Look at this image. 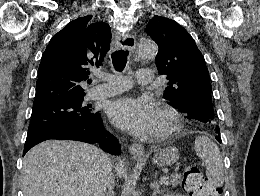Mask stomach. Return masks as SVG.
<instances>
[{"label":"stomach","mask_w":260,"mask_h":196,"mask_svg":"<svg viewBox=\"0 0 260 196\" xmlns=\"http://www.w3.org/2000/svg\"><path fill=\"white\" fill-rule=\"evenodd\" d=\"M153 164L156 166H172L175 162H178L180 158L178 148L175 146H168V148H156L153 150ZM137 162H143V160H137Z\"/></svg>","instance_id":"stomach-1"}]
</instances>
